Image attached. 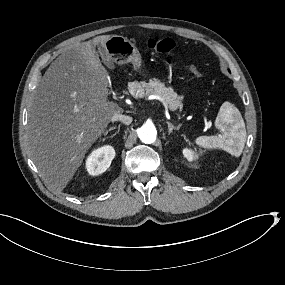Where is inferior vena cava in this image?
<instances>
[{"label":"inferior vena cava","mask_w":285,"mask_h":285,"mask_svg":"<svg viewBox=\"0 0 285 285\" xmlns=\"http://www.w3.org/2000/svg\"><path fill=\"white\" fill-rule=\"evenodd\" d=\"M111 120L113 122L114 121H121L122 123L127 124V125H129L132 122V118L131 117L125 116V115H122V114H118V113L114 114Z\"/></svg>","instance_id":"inferior-vena-cava-1"}]
</instances>
